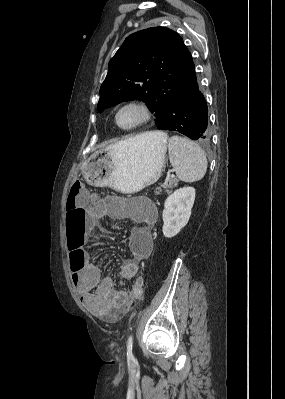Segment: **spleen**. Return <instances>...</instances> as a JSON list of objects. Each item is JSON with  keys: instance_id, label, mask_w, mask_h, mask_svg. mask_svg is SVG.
<instances>
[{"instance_id": "spleen-1", "label": "spleen", "mask_w": 285, "mask_h": 399, "mask_svg": "<svg viewBox=\"0 0 285 399\" xmlns=\"http://www.w3.org/2000/svg\"><path fill=\"white\" fill-rule=\"evenodd\" d=\"M169 160L178 178L184 182L201 180L207 170L203 149L188 138L174 135L168 141Z\"/></svg>"}]
</instances>
